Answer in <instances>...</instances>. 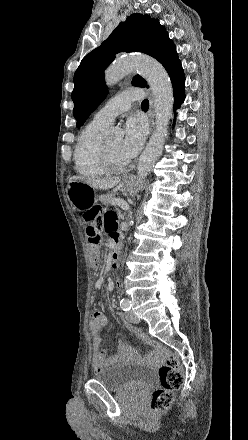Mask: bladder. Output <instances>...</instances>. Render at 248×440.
Listing matches in <instances>:
<instances>
[{"instance_id": "1", "label": "bladder", "mask_w": 248, "mask_h": 440, "mask_svg": "<svg viewBox=\"0 0 248 440\" xmlns=\"http://www.w3.org/2000/svg\"><path fill=\"white\" fill-rule=\"evenodd\" d=\"M153 378L154 372L150 367L131 362H117L94 374L95 380L115 391L144 392L152 385Z\"/></svg>"}]
</instances>
